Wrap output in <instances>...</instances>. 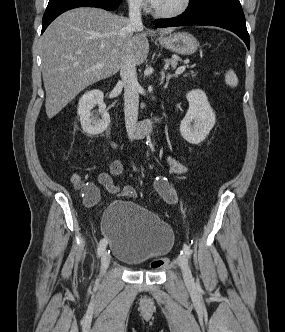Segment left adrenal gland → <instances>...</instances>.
Returning a JSON list of instances; mask_svg holds the SVG:
<instances>
[{"label":"left adrenal gland","instance_id":"a2214340","mask_svg":"<svg viewBox=\"0 0 285 332\" xmlns=\"http://www.w3.org/2000/svg\"><path fill=\"white\" fill-rule=\"evenodd\" d=\"M161 76H162V82H163L164 80H166L165 85H164V88H167L170 79L173 78V77H175L174 74H168L167 76H165V72H164V71H162Z\"/></svg>","mask_w":285,"mask_h":332}]
</instances>
